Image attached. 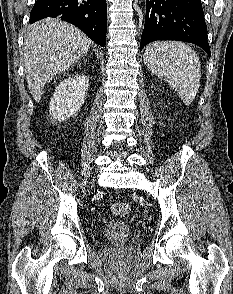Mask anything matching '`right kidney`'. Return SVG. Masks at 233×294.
I'll list each match as a JSON object with an SVG mask.
<instances>
[{
    "label": "right kidney",
    "mask_w": 233,
    "mask_h": 294,
    "mask_svg": "<svg viewBox=\"0 0 233 294\" xmlns=\"http://www.w3.org/2000/svg\"><path fill=\"white\" fill-rule=\"evenodd\" d=\"M89 86L88 77L73 75L64 79L55 89L49 111L58 121L76 114L84 104Z\"/></svg>",
    "instance_id": "ca27d5eb"
}]
</instances>
